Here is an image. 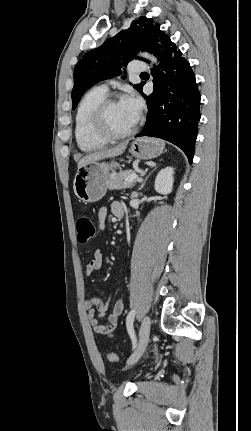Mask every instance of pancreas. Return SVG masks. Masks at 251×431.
Wrapping results in <instances>:
<instances>
[{
    "label": "pancreas",
    "mask_w": 251,
    "mask_h": 431,
    "mask_svg": "<svg viewBox=\"0 0 251 431\" xmlns=\"http://www.w3.org/2000/svg\"><path fill=\"white\" fill-rule=\"evenodd\" d=\"M135 172L132 170L121 171L119 173H112L109 175V179L107 181V187L109 190H120L124 188H131L134 186L136 181H125L128 176L134 174Z\"/></svg>",
    "instance_id": "cf45deb5"
}]
</instances>
